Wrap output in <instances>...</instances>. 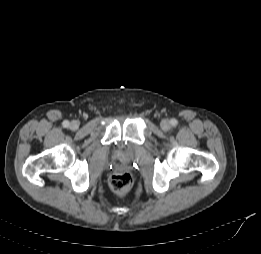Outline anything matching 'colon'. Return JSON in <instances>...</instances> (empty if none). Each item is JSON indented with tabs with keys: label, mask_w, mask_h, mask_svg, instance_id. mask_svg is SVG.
Returning a JSON list of instances; mask_svg holds the SVG:
<instances>
[{
	"label": "colon",
	"mask_w": 261,
	"mask_h": 254,
	"mask_svg": "<svg viewBox=\"0 0 261 254\" xmlns=\"http://www.w3.org/2000/svg\"><path fill=\"white\" fill-rule=\"evenodd\" d=\"M133 184L132 175L127 171L113 173L109 178V185L113 192L118 195H125Z\"/></svg>",
	"instance_id": "5ec220e1"
}]
</instances>
